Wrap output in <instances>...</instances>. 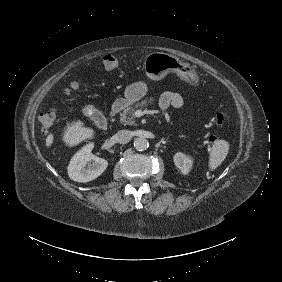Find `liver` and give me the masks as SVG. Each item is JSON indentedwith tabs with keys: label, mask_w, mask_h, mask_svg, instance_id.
<instances>
[{
	"label": "liver",
	"mask_w": 282,
	"mask_h": 282,
	"mask_svg": "<svg viewBox=\"0 0 282 282\" xmlns=\"http://www.w3.org/2000/svg\"><path fill=\"white\" fill-rule=\"evenodd\" d=\"M94 130L88 127H84V123L80 120L72 122L71 124L67 123V128L63 135L64 142L72 147L80 142L94 138ZM54 136L49 134L46 138V146L50 147L53 143Z\"/></svg>",
	"instance_id": "6515ba94"
}]
</instances>
